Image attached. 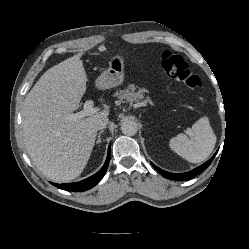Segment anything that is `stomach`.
<instances>
[{"label": "stomach", "instance_id": "obj_1", "mask_svg": "<svg viewBox=\"0 0 249 249\" xmlns=\"http://www.w3.org/2000/svg\"><path fill=\"white\" fill-rule=\"evenodd\" d=\"M124 80V58L115 55L109 62V68L105 70L96 80L99 89H108L120 85Z\"/></svg>", "mask_w": 249, "mask_h": 249}]
</instances>
